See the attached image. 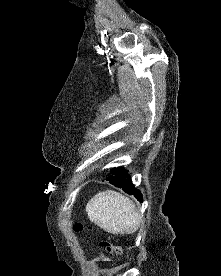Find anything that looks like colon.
<instances>
[{
	"instance_id": "obj_1",
	"label": "colon",
	"mask_w": 221,
	"mask_h": 276,
	"mask_svg": "<svg viewBox=\"0 0 221 276\" xmlns=\"http://www.w3.org/2000/svg\"><path fill=\"white\" fill-rule=\"evenodd\" d=\"M74 230L76 232H80L83 230V225L80 223H77L74 225ZM100 246L105 248L108 252L112 253V254H119L120 253V248L118 246H114L112 245L109 241L107 240H102L100 242Z\"/></svg>"
}]
</instances>
